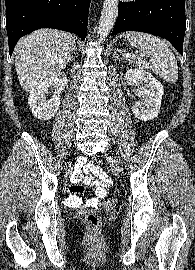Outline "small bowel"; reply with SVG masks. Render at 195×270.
Listing matches in <instances>:
<instances>
[{
	"label": "small bowel",
	"mask_w": 195,
	"mask_h": 270,
	"mask_svg": "<svg viewBox=\"0 0 195 270\" xmlns=\"http://www.w3.org/2000/svg\"><path fill=\"white\" fill-rule=\"evenodd\" d=\"M75 173L82 184H75L70 187V194L65 199L66 205L73 208L81 206L98 207L101 199L107 196V188L112 185V179L102 167L87 163L84 158L79 160ZM83 185H89L92 188L94 192L93 197L86 200L81 198V194L84 192Z\"/></svg>",
	"instance_id": "obj_1"
}]
</instances>
